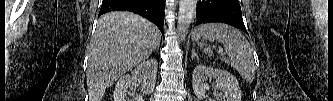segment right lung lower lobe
I'll return each mask as SVG.
<instances>
[{"instance_id": "right-lung-lower-lobe-1", "label": "right lung lower lobe", "mask_w": 333, "mask_h": 101, "mask_svg": "<svg viewBox=\"0 0 333 101\" xmlns=\"http://www.w3.org/2000/svg\"><path fill=\"white\" fill-rule=\"evenodd\" d=\"M165 0H103L99 16L110 11H130L153 22L163 33Z\"/></svg>"}]
</instances>
